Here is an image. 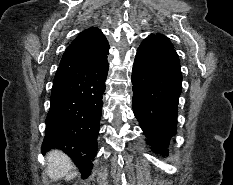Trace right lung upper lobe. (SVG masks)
<instances>
[{
  "label": "right lung upper lobe",
  "mask_w": 233,
  "mask_h": 185,
  "mask_svg": "<svg viewBox=\"0 0 233 185\" xmlns=\"http://www.w3.org/2000/svg\"><path fill=\"white\" fill-rule=\"evenodd\" d=\"M109 44L100 29L94 27L81 32L69 45L60 66L75 64H100L107 60Z\"/></svg>",
  "instance_id": "1"
}]
</instances>
